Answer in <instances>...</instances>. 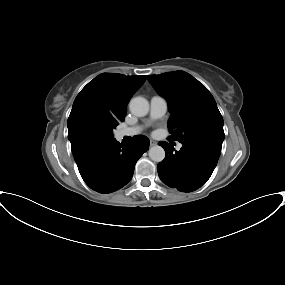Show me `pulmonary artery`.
<instances>
[{
	"mask_svg": "<svg viewBox=\"0 0 285 285\" xmlns=\"http://www.w3.org/2000/svg\"><path fill=\"white\" fill-rule=\"evenodd\" d=\"M168 108L167 100L162 96H153L150 100V118L152 120L159 119L165 115ZM142 130L141 126L127 127L119 130V138L126 136H134ZM182 144H177V149H181Z\"/></svg>",
	"mask_w": 285,
	"mask_h": 285,
	"instance_id": "obj_1",
	"label": "pulmonary artery"
}]
</instances>
